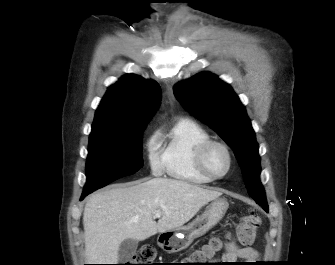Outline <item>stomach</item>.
<instances>
[{"mask_svg":"<svg viewBox=\"0 0 335 265\" xmlns=\"http://www.w3.org/2000/svg\"><path fill=\"white\" fill-rule=\"evenodd\" d=\"M228 202L225 198L214 199L205 209L188 225L160 233L157 243L161 249L168 253H176L186 249L195 238L203 236L213 228L225 215Z\"/></svg>","mask_w":335,"mask_h":265,"instance_id":"0dacf381","label":"stomach"}]
</instances>
